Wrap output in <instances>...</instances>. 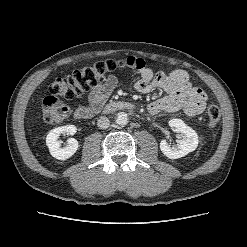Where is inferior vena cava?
<instances>
[{
  "label": "inferior vena cava",
  "instance_id": "1",
  "mask_svg": "<svg viewBox=\"0 0 247 247\" xmlns=\"http://www.w3.org/2000/svg\"><path fill=\"white\" fill-rule=\"evenodd\" d=\"M97 125L100 129H107L110 125V121L107 117L103 116L97 120Z\"/></svg>",
  "mask_w": 247,
  "mask_h": 247
}]
</instances>
